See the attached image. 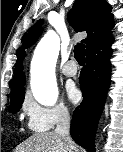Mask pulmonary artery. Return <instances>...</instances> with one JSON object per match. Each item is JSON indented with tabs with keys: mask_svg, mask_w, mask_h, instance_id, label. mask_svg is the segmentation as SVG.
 Here are the masks:
<instances>
[{
	"mask_svg": "<svg viewBox=\"0 0 123 152\" xmlns=\"http://www.w3.org/2000/svg\"><path fill=\"white\" fill-rule=\"evenodd\" d=\"M62 73L65 76L72 77L77 74V65L73 60L68 61L62 67Z\"/></svg>",
	"mask_w": 123,
	"mask_h": 152,
	"instance_id": "1",
	"label": "pulmonary artery"
}]
</instances>
